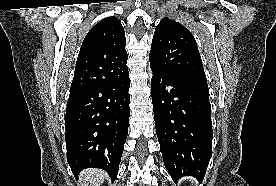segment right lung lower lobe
Returning a JSON list of instances; mask_svg holds the SVG:
<instances>
[{"instance_id": "98d812e1", "label": "right lung lower lobe", "mask_w": 276, "mask_h": 186, "mask_svg": "<svg viewBox=\"0 0 276 186\" xmlns=\"http://www.w3.org/2000/svg\"><path fill=\"white\" fill-rule=\"evenodd\" d=\"M129 74L113 83L70 91L65 115L67 161L78 178L85 168L118 174L130 116Z\"/></svg>"}]
</instances>
